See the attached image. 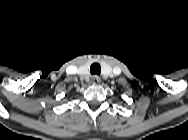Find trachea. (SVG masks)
I'll return each mask as SVG.
<instances>
[{
	"label": "trachea",
	"mask_w": 188,
	"mask_h": 140,
	"mask_svg": "<svg viewBox=\"0 0 188 140\" xmlns=\"http://www.w3.org/2000/svg\"><path fill=\"white\" fill-rule=\"evenodd\" d=\"M90 72L92 75H100L101 67L98 63H93L90 67Z\"/></svg>",
	"instance_id": "trachea-1"
}]
</instances>
